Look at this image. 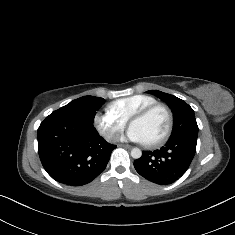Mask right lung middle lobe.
Here are the masks:
<instances>
[{
    "label": "right lung middle lobe",
    "mask_w": 235,
    "mask_h": 235,
    "mask_svg": "<svg viewBox=\"0 0 235 235\" xmlns=\"http://www.w3.org/2000/svg\"><path fill=\"white\" fill-rule=\"evenodd\" d=\"M104 102L103 98L83 96L71 101L69 104L56 110L57 113H65L78 117L84 121L93 123L96 110Z\"/></svg>",
    "instance_id": "1"
}]
</instances>
